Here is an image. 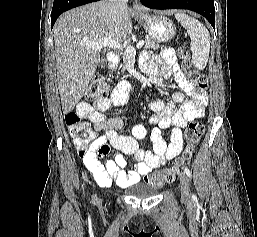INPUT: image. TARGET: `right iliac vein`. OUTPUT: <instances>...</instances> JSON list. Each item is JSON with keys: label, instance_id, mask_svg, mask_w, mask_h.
Wrapping results in <instances>:
<instances>
[{"label": "right iliac vein", "instance_id": "1", "mask_svg": "<svg viewBox=\"0 0 257 237\" xmlns=\"http://www.w3.org/2000/svg\"><path fill=\"white\" fill-rule=\"evenodd\" d=\"M93 200H94V202H96V201H97V198L94 196V197H93Z\"/></svg>", "mask_w": 257, "mask_h": 237}]
</instances>
